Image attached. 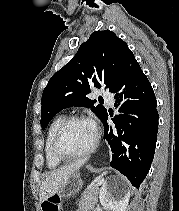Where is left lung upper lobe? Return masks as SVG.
<instances>
[{"mask_svg":"<svg viewBox=\"0 0 179 211\" xmlns=\"http://www.w3.org/2000/svg\"><path fill=\"white\" fill-rule=\"evenodd\" d=\"M127 44L110 30L95 31L78 49L76 55L49 80L42 94L41 127L62 109L82 106L90 108L102 121L107 115L104 106L86 97L90 87L106 85L112 90L128 56Z\"/></svg>","mask_w":179,"mask_h":211,"instance_id":"obj_1","label":"left lung upper lobe"}]
</instances>
